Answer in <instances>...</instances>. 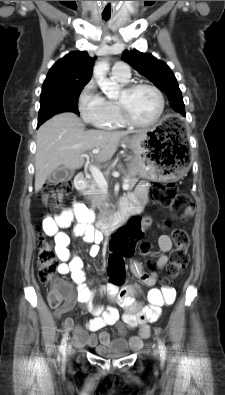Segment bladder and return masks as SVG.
I'll return each instance as SVG.
<instances>
[{"mask_svg":"<svg viewBox=\"0 0 225 395\" xmlns=\"http://www.w3.org/2000/svg\"><path fill=\"white\" fill-rule=\"evenodd\" d=\"M131 348L126 340L124 339H114L110 343L99 350H97L101 355L110 358H119L126 356L130 352Z\"/></svg>","mask_w":225,"mask_h":395,"instance_id":"obj_1","label":"bladder"}]
</instances>
